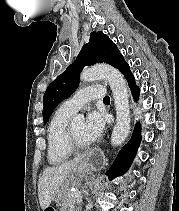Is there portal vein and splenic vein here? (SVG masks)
<instances>
[{"mask_svg": "<svg viewBox=\"0 0 179 211\" xmlns=\"http://www.w3.org/2000/svg\"><path fill=\"white\" fill-rule=\"evenodd\" d=\"M80 195H81L80 192H73V193H72V196H73V197H79Z\"/></svg>", "mask_w": 179, "mask_h": 211, "instance_id": "18ae733b", "label": "portal vein and splenic vein"}]
</instances>
